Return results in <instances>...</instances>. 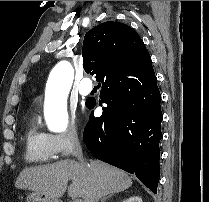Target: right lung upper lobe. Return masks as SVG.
Masks as SVG:
<instances>
[{"instance_id": "right-lung-upper-lobe-1", "label": "right lung upper lobe", "mask_w": 209, "mask_h": 202, "mask_svg": "<svg viewBox=\"0 0 209 202\" xmlns=\"http://www.w3.org/2000/svg\"><path fill=\"white\" fill-rule=\"evenodd\" d=\"M83 67L103 87H121L147 74L151 58L128 25L107 21L89 30L83 41Z\"/></svg>"}]
</instances>
